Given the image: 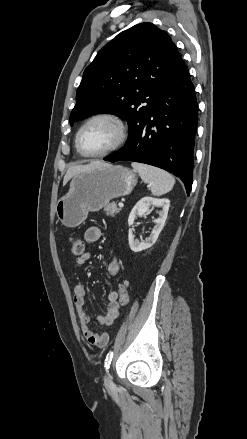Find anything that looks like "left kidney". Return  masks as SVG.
Wrapping results in <instances>:
<instances>
[{
    "mask_svg": "<svg viewBox=\"0 0 247 439\" xmlns=\"http://www.w3.org/2000/svg\"><path fill=\"white\" fill-rule=\"evenodd\" d=\"M152 205L162 207V210L159 211V217L154 220L155 226L151 232V235L148 238H146L144 242H140L138 239L135 238V235L133 234V230L129 228L128 240H129L130 249L133 252H140L142 250L150 248L156 242L160 232L162 231L165 225V221L167 219L168 210L170 206V200L166 198L158 199V198H152L146 196L141 200H139L131 210L128 218L129 227L133 225L134 220L137 216L148 213L149 208Z\"/></svg>",
    "mask_w": 247,
    "mask_h": 439,
    "instance_id": "5707ae66",
    "label": "left kidney"
}]
</instances>
